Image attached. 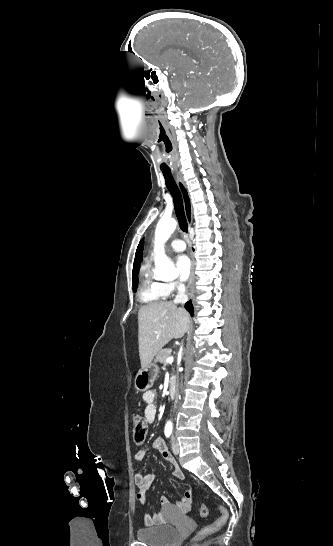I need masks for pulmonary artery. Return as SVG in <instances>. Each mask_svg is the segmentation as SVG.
I'll list each match as a JSON object with an SVG mask.
<instances>
[{
    "mask_svg": "<svg viewBox=\"0 0 333 546\" xmlns=\"http://www.w3.org/2000/svg\"><path fill=\"white\" fill-rule=\"evenodd\" d=\"M169 246L173 251H176V252L184 251L185 248H186V245H185L184 241L180 240V239L172 240L170 242Z\"/></svg>",
    "mask_w": 333,
    "mask_h": 546,
    "instance_id": "pulmonary-artery-1",
    "label": "pulmonary artery"
}]
</instances>
